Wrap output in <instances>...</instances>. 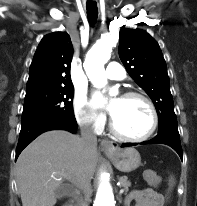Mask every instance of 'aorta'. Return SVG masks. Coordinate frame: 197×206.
<instances>
[{
  "mask_svg": "<svg viewBox=\"0 0 197 206\" xmlns=\"http://www.w3.org/2000/svg\"><path fill=\"white\" fill-rule=\"evenodd\" d=\"M112 41L109 36H102L86 55L84 69L92 84L97 88H102L107 83L104 65L110 59L112 52ZM102 181L97 188L93 206H115L116 201L112 187L102 174Z\"/></svg>",
  "mask_w": 197,
  "mask_h": 206,
  "instance_id": "obj_1",
  "label": "aorta"
}]
</instances>
